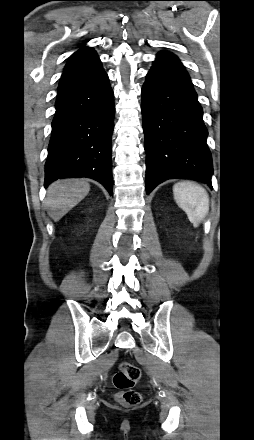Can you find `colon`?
<instances>
[{"label":"colon","mask_w":254,"mask_h":440,"mask_svg":"<svg viewBox=\"0 0 254 440\" xmlns=\"http://www.w3.org/2000/svg\"><path fill=\"white\" fill-rule=\"evenodd\" d=\"M141 377L137 366L129 362H121L118 371L113 376V384L117 389L115 393L116 401L124 407H135L141 402V395L134 390Z\"/></svg>","instance_id":"5ec220e1"}]
</instances>
